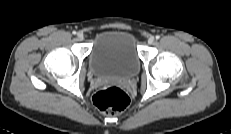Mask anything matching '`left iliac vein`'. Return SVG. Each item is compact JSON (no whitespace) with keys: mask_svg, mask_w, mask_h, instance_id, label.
Listing matches in <instances>:
<instances>
[{"mask_svg":"<svg viewBox=\"0 0 231 134\" xmlns=\"http://www.w3.org/2000/svg\"><path fill=\"white\" fill-rule=\"evenodd\" d=\"M154 40H155L154 37L151 36V37L148 38V43H149V44H153V43H154Z\"/></svg>","mask_w":231,"mask_h":134,"instance_id":"left-iliac-vein-1","label":"left iliac vein"}]
</instances>
